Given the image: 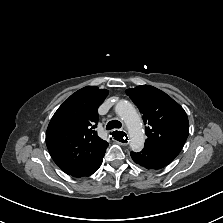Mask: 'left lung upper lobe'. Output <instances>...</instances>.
<instances>
[{"mask_svg":"<svg viewBox=\"0 0 223 223\" xmlns=\"http://www.w3.org/2000/svg\"><path fill=\"white\" fill-rule=\"evenodd\" d=\"M126 94L143 114L148 137L145 146L177 156L189 134L184 109L166 93L150 85L128 89Z\"/></svg>","mask_w":223,"mask_h":223,"instance_id":"left-lung-upper-lobe-1","label":"left lung upper lobe"}]
</instances>
